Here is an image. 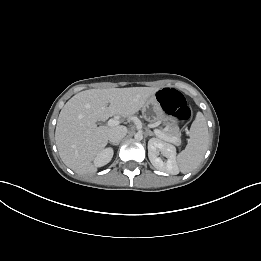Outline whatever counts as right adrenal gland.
I'll use <instances>...</instances> for the list:
<instances>
[{"mask_svg": "<svg viewBox=\"0 0 261 261\" xmlns=\"http://www.w3.org/2000/svg\"><path fill=\"white\" fill-rule=\"evenodd\" d=\"M112 145H115V146H118L119 145V143H111Z\"/></svg>", "mask_w": 261, "mask_h": 261, "instance_id": "right-adrenal-gland-1", "label": "right adrenal gland"}]
</instances>
